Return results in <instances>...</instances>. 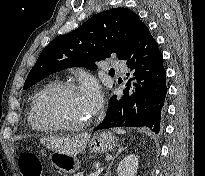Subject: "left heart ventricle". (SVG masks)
I'll list each match as a JSON object with an SVG mask.
<instances>
[{"label":"left heart ventricle","mask_w":205,"mask_h":176,"mask_svg":"<svg viewBox=\"0 0 205 176\" xmlns=\"http://www.w3.org/2000/svg\"><path fill=\"white\" fill-rule=\"evenodd\" d=\"M91 114L78 92H58L46 98L41 105V116L48 121L77 125Z\"/></svg>","instance_id":"obj_1"}]
</instances>
